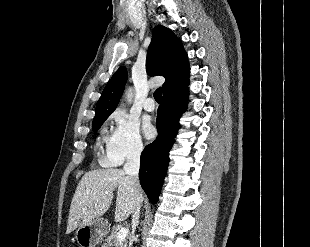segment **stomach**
I'll list each match as a JSON object with an SVG mask.
<instances>
[{
	"instance_id": "0dacf381",
	"label": "stomach",
	"mask_w": 310,
	"mask_h": 247,
	"mask_svg": "<svg viewBox=\"0 0 310 247\" xmlns=\"http://www.w3.org/2000/svg\"><path fill=\"white\" fill-rule=\"evenodd\" d=\"M108 231V222L101 218L81 223L76 231L75 239L80 247H95Z\"/></svg>"
}]
</instances>
